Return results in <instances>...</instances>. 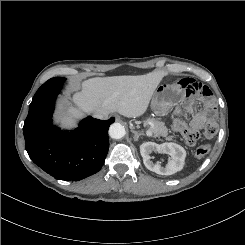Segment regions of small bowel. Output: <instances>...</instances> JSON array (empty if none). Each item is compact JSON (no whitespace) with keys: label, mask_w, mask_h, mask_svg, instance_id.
<instances>
[{"label":"small bowel","mask_w":245,"mask_h":245,"mask_svg":"<svg viewBox=\"0 0 245 245\" xmlns=\"http://www.w3.org/2000/svg\"><path fill=\"white\" fill-rule=\"evenodd\" d=\"M176 85L179 90L185 91L187 96L193 97L198 94L199 99L204 102L212 99V90L194 79L182 76L177 79ZM214 116L215 113L212 108L195 113L191 121L192 129L197 130L202 128L205 122Z\"/></svg>","instance_id":"1"}]
</instances>
